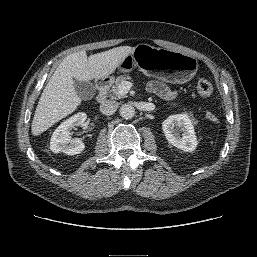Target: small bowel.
Instances as JSON below:
<instances>
[{
    "mask_svg": "<svg viewBox=\"0 0 257 257\" xmlns=\"http://www.w3.org/2000/svg\"><path fill=\"white\" fill-rule=\"evenodd\" d=\"M148 89L165 99H171L175 96V92L159 81H151L148 83Z\"/></svg>",
    "mask_w": 257,
    "mask_h": 257,
    "instance_id": "small-bowel-1",
    "label": "small bowel"
}]
</instances>
